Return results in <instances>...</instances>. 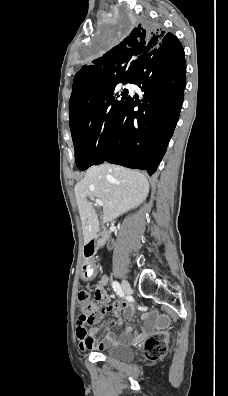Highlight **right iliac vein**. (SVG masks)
Instances as JSON below:
<instances>
[{
	"label": "right iliac vein",
	"instance_id": "1",
	"mask_svg": "<svg viewBox=\"0 0 228 396\" xmlns=\"http://www.w3.org/2000/svg\"><path fill=\"white\" fill-rule=\"evenodd\" d=\"M122 289L126 295L131 293V287L127 280H122Z\"/></svg>",
	"mask_w": 228,
	"mask_h": 396
}]
</instances>
